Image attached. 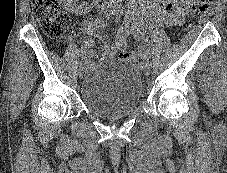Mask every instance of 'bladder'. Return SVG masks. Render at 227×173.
Masks as SVG:
<instances>
[{"label": "bladder", "instance_id": "bladder-1", "mask_svg": "<svg viewBox=\"0 0 227 173\" xmlns=\"http://www.w3.org/2000/svg\"><path fill=\"white\" fill-rule=\"evenodd\" d=\"M79 94L90 113L105 120H118L132 115L140 107L143 82L136 65L108 59L88 71Z\"/></svg>", "mask_w": 227, "mask_h": 173}]
</instances>
